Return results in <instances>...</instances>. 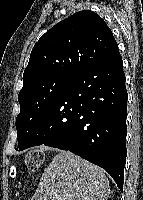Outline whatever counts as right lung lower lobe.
Masks as SVG:
<instances>
[{"mask_svg": "<svg viewBox=\"0 0 143 200\" xmlns=\"http://www.w3.org/2000/svg\"><path fill=\"white\" fill-rule=\"evenodd\" d=\"M128 94L119 49L77 72L39 119L23 150L44 144L102 167L123 190Z\"/></svg>", "mask_w": 143, "mask_h": 200, "instance_id": "1", "label": "right lung lower lobe"}]
</instances>
